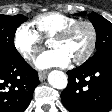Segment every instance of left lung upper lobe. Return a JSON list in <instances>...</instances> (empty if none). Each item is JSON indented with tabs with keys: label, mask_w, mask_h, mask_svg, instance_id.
I'll return each mask as SVG.
<instances>
[{
	"label": "left lung upper lobe",
	"mask_w": 112,
	"mask_h": 112,
	"mask_svg": "<svg viewBox=\"0 0 112 112\" xmlns=\"http://www.w3.org/2000/svg\"><path fill=\"white\" fill-rule=\"evenodd\" d=\"M86 12L78 13V15H85ZM89 20L93 24L97 39H96V53L89 58L84 64H88L95 58L112 53V23L100 16L99 14L92 12L89 15Z\"/></svg>",
	"instance_id": "obj_1"
}]
</instances>
